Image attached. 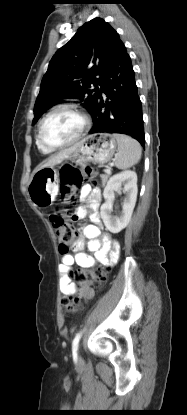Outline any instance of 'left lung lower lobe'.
Returning a JSON list of instances; mask_svg holds the SVG:
<instances>
[{"label":"left lung lower lobe","instance_id":"left-lung-lower-lobe-1","mask_svg":"<svg viewBox=\"0 0 187 415\" xmlns=\"http://www.w3.org/2000/svg\"><path fill=\"white\" fill-rule=\"evenodd\" d=\"M99 97L92 112L90 134L107 132L130 135L144 147L142 106L131 58L119 36L115 39L102 73ZM102 93L107 97L104 101ZM110 99V101H108Z\"/></svg>","mask_w":187,"mask_h":415}]
</instances>
